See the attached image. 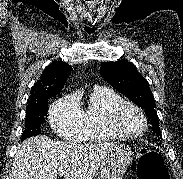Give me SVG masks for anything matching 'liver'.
<instances>
[{
	"mask_svg": "<svg viewBox=\"0 0 183 179\" xmlns=\"http://www.w3.org/2000/svg\"><path fill=\"white\" fill-rule=\"evenodd\" d=\"M115 143L81 145L53 141L46 136L25 140L13 162L10 179H93L108 151Z\"/></svg>",
	"mask_w": 183,
	"mask_h": 179,
	"instance_id": "1",
	"label": "liver"
}]
</instances>
